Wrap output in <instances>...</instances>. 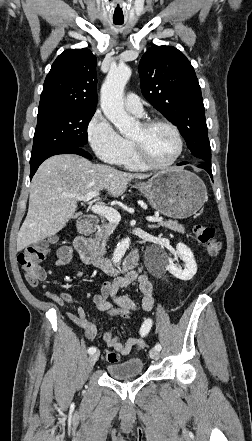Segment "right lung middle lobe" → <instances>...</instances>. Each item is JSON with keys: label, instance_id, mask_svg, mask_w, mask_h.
I'll return each mask as SVG.
<instances>
[{"label": "right lung middle lobe", "instance_id": "dd1d6c3e", "mask_svg": "<svg viewBox=\"0 0 252 441\" xmlns=\"http://www.w3.org/2000/svg\"><path fill=\"white\" fill-rule=\"evenodd\" d=\"M94 109L50 106L38 109L31 160L59 147H83Z\"/></svg>", "mask_w": 252, "mask_h": 441}]
</instances>
